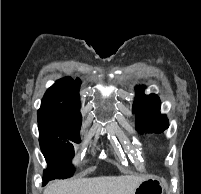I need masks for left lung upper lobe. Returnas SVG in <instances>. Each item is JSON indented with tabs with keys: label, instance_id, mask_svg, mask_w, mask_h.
Returning <instances> with one entry per match:
<instances>
[{
	"label": "left lung upper lobe",
	"instance_id": "obj_1",
	"mask_svg": "<svg viewBox=\"0 0 201 194\" xmlns=\"http://www.w3.org/2000/svg\"><path fill=\"white\" fill-rule=\"evenodd\" d=\"M143 90V87L137 88L138 96L133 104L136 129L141 133H162L168 128L169 122L166 115L160 114V99L156 94L145 95Z\"/></svg>",
	"mask_w": 201,
	"mask_h": 194
}]
</instances>
